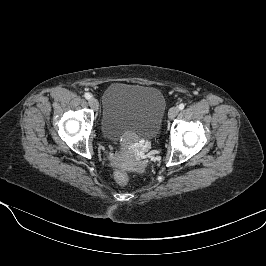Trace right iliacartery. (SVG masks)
Here are the masks:
<instances>
[{"label":"right iliac artery","instance_id":"right-iliac-artery-1","mask_svg":"<svg viewBox=\"0 0 266 266\" xmlns=\"http://www.w3.org/2000/svg\"><path fill=\"white\" fill-rule=\"evenodd\" d=\"M84 97H85L87 100H90L92 96H91L90 93H85Z\"/></svg>","mask_w":266,"mask_h":266}]
</instances>
